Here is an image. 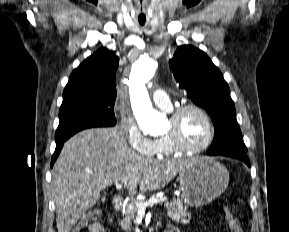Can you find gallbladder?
Segmentation results:
<instances>
[{"label": "gallbladder", "mask_w": 289, "mask_h": 232, "mask_svg": "<svg viewBox=\"0 0 289 232\" xmlns=\"http://www.w3.org/2000/svg\"><path fill=\"white\" fill-rule=\"evenodd\" d=\"M102 200L105 201V196L102 197Z\"/></svg>", "instance_id": "1"}]
</instances>
